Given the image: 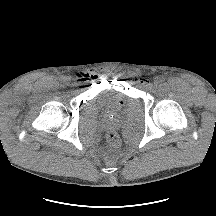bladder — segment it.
Returning <instances> with one entry per match:
<instances>
[{"mask_svg": "<svg viewBox=\"0 0 216 216\" xmlns=\"http://www.w3.org/2000/svg\"><path fill=\"white\" fill-rule=\"evenodd\" d=\"M122 103V96L118 92H103L97 94L93 98V105L97 109H104L105 111H112L119 109Z\"/></svg>", "mask_w": 216, "mask_h": 216, "instance_id": "obj_1", "label": "bladder"}]
</instances>
